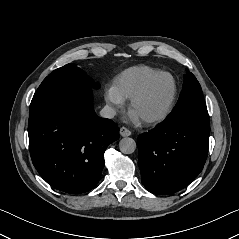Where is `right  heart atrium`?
<instances>
[{"mask_svg":"<svg viewBox=\"0 0 239 239\" xmlns=\"http://www.w3.org/2000/svg\"><path fill=\"white\" fill-rule=\"evenodd\" d=\"M105 103L111 112H115L122 107L124 99L119 95L114 86H108L104 92Z\"/></svg>","mask_w":239,"mask_h":239,"instance_id":"1","label":"right heart atrium"}]
</instances>
